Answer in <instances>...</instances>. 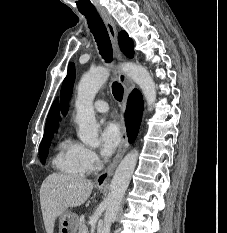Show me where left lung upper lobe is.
<instances>
[{
  "label": "left lung upper lobe",
  "mask_w": 227,
  "mask_h": 233,
  "mask_svg": "<svg viewBox=\"0 0 227 233\" xmlns=\"http://www.w3.org/2000/svg\"><path fill=\"white\" fill-rule=\"evenodd\" d=\"M118 41L121 51L129 58L134 56L133 42L128 37L125 31L118 34ZM75 80V66L73 63L69 64V70L65 77L61 89V110L62 114L66 115L68 112V102L72 94V87Z\"/></svg>",
  "instance_id": "left-lung-upper-lobe-1"
}]
</instances>
